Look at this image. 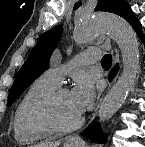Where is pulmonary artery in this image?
I'll return each mask as SVG.
<instances>
[{"instance_id":"obj_1","label":"pulmonary artery","mask_w":145,"mask_h":147,"mask_svg":"<svg viewBox=\"0 0 145 147\" xmlns=\"http://www.w3.org/2000/svg\"><path fill=\"white\" fill-rule=\"evenodd\" d=\"M100 58V50L91 48L77 55L75 61L78 65L92 64ZM70 70L67 65H59L49 68L44 75L56 83H60L66 71Z\"/></svg>"}]
</instances>
